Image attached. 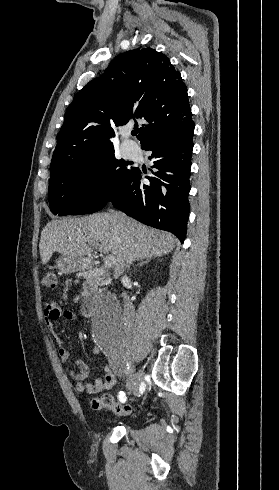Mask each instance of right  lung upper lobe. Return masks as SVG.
<instances>
[{"label":"right lung upper lobe","mask_w":279,"mask_h":490,"mask_svg":"<svg viewBox=\"0 0 279 490\" xmlns=\"http://www.w3.org/2000/svg\"><path fill=\"white\" fill-rule=\"evenodd\" d=\"M133 120L148 122L137 136L141 146L194 123L180 73L152 48L118 55L76 94L59 133L50 178L114 149L110 126Z\"/></svg>","instance_id":"obj_1"}]
</instances>
